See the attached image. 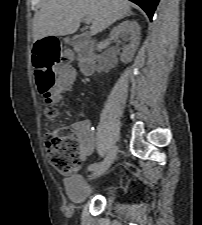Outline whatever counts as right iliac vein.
Instances as JSON below:
<instances>
[{"mask_svg":"<svg viewBox=\"0 0 202 225\" xmlns=\"http://www.w3.org/2000/svg\"><path fill=\"white\" fill-rule=\"evenodd\" d=\"M116 155H117V147L113 146L112 148H110L108 154L106 155L105 159L102 161L101 165L92 172L90 176L91 179L99 177L103 173H105L110 168L113 161L115 160Z\"/></svg>","mask_w":202,"mask_h":225,"instance_id":"right-iliac-vein-1","label":"right iliac vein"}]
</instances>
